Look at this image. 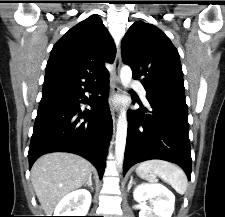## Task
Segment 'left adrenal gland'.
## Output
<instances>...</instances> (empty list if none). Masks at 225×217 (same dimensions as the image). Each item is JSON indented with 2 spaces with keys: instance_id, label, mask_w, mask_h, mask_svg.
<instances>
[{
  "instance_id": "left-adrenal-gland-1",
  "label": "left adrenal gland",
  "mask_w": 225,
  "mask_h": 217,
  "mask_svg": "<svg viewBox=\"0 0 225 217\" xmlns=\"http://www.w3.org/2000/svg\"><path fill=\"white\" fill-rule=\"evenodd\" d=\"M133 184V176H131L129 184H128V191L130 190V188L132 187Z\"/></svg>"
}]
</instances>
